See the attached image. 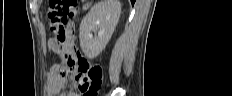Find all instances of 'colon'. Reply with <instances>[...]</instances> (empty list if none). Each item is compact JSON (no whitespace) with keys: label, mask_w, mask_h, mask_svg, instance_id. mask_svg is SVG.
<instances>
[{"label":"colon","mask_w":232,"mask_h":96,"mask_svg":"<svg viewBox=\"0 0 232 96\" xmlns=\"http://www.w3.org/2000/svg\"><path fill=\"white\" fill-rule=\"evenodd\" d=\"M49 5L50 31L58 44L57 52L64 57L66 65L73 68L78 95L96 96L103 78L102 67L83 58L68 42L74 36L69 35L67 26L68 22H73L79 13L77 1L50 0Z\"/></svg>","instance_id":"5ec220e1"}]
</instances>
